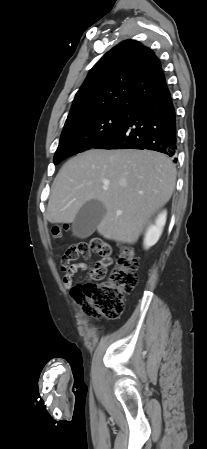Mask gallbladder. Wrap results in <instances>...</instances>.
I'll use <instances>...</instances> for the list:
<instances>
[{"label": "gallbladder", "instance_id": "bac80fb5", "mask_svg": "<svg viewBox=\"0 0 207 449\" xmlns=\"http://www.w3.org/2000/svg\"><path fill=\"white\" fill-rule=\"evenodd\" d=\"M105 214L106 207L102 202L95 199L87 201L80 208L73 222L74 235L81 239L92 235Z\"/></svg>", "mask_w": 207, "mask_h": 449}]
</instances>
